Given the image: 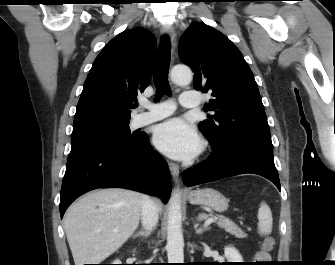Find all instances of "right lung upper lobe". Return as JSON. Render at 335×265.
<instances>
[{"label":"right lung upper lobe","instance_id":"obj_1","mask_svg":"<svg viewBox=\"0 0 335 265\" xmlns=\"http://www.w3.org/2000/svg\"><path fill=\"white\" fill-rule=\"evenodd\" d=\"M156 42L143 29L127 30L96 57L77 104L73 127L96 122L130 121L137 94L151 81Z\"/></svg>","mask_w":335,"mask_h":265}]
</instances>
